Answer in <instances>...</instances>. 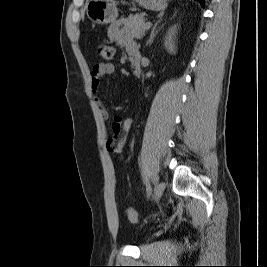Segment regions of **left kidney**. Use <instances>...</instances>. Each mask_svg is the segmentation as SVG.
<instances>
[{"label": "left kidney", "instance_id": "obj_1", "mask_svg": "<svg viewBox=\"0 0 267 267\" xmlns=\"http://www.w3.org/2000/svg\"><path fill=\"white\" fill-rule=\"evenodd\" d=\"M176 26L171 27L169 29V31L167 32V36H166V41H165V48L167 49V51L169 53H175L176 47H175V42L173 40H175V34L177 33L176 31Z\"/></svg>", "mask_w": 267, "mask_h": 267}]
</instances>
